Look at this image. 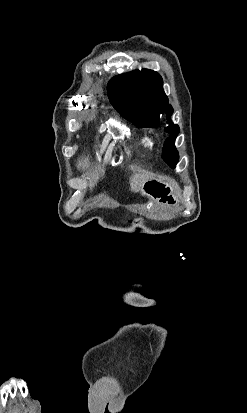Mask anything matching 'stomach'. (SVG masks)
<instances>
[{
  "label": "stomach",
  "instance_id": "obj_1",
  "mask_svg": "<svg viewBox=\"0 0 247 413\" xmlns=\"http://www.w3.org/2000/svg\"><path fill=\"white\" fill-rule=\"evenodd\" d=\"M178 184L174 180H165V178H149L144 182L141 192L149 198L156 200L158 204H164V207H178L180 202Z\"/></svg>",
  "mask_w": 247,
  "mask_h": 413
}]
</instances>
